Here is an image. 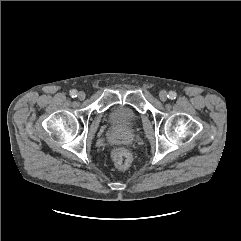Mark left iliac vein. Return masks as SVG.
<instances>
[{
	"instance_id": "obj_1",
	"label": "left iliac vein",
	"mask_w": 241,
	"mask_h": 241,
	"mask_svg": "<svg viewBox=\"0 0 241 241\" xmlns=\"http://www.w3.org/2000/svg\"><path fill=\"white\" fill-rule=\"evenodd\" d=\"M159 98L161 101H166L167 100V92L166 91H161L159 93Z\"/></svg>"
}]
</instances>
